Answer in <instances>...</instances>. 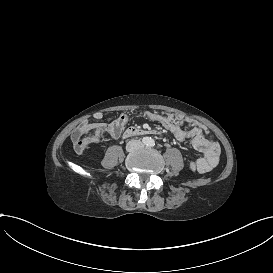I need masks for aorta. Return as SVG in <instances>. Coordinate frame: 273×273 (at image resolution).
Returning <instances> with one entry per match:
<instances>
[{
  "label": "aorta",
  "instance_id": "aorta-1",
  "mask_svg": "<svg viewBox=\"0 0 273 273\" xmlns=\"http://www.w3.org/2000/svg\"><path fill=\"white\" fill-rule=\"evenodd\" d=\"M148 143H153V140L151 138H149Z\"/></svg>",
  "mask_w": 273,
  "mask_h": 273
}]
</instances>
